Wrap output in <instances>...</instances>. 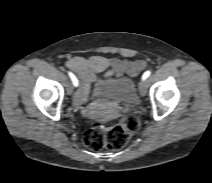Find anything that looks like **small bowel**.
Here are the masks:
<instances>
[{
	"instance_id": "small-bowel-1",
	"label": "small bowel",
	"mask_w": 212,
	"mask_h": 183,
	"mask_svg": "<svg viewBox=\"0 0 212 183\" xmlns=\"http://www.w3.org/2000/svg\"><path fill=\"white\" fill-rule=\"evenodd\" d=\"M66 66L80 79V90L74 96V104L79 106L86 100L91 85L99 73H103L106 78L124 74L136 76L145 69L146 64L143 61H128L95 55L70 58L66 62Z\"/></svg>"
}]
</instances>
